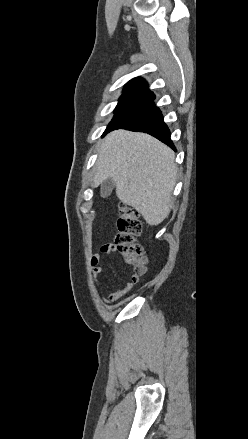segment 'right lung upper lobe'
<instances>
[{
	"instance_id": "1",
	"label": "right lung upper lobe",
	"mask_w": 248,
	"mask_h": 439,
	"mask_svg": "<svg viewBox=\"0 0 248 439\" xmlns=\"http://www.w3.org/2000/svg\"><path fill=\"white\" fill-rule=\"evenodd\" d=\"M123 95H136L155 98L154 94L148 89L147 82L140 78H134L130 80L123 90Z\"/></svg>"
}]
</instances>
